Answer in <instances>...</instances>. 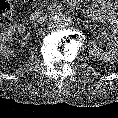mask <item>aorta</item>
<instances>
[{
    "instance_id": "aorta-1",
    "label": "aorta",
    "mask_w": 118,
    "mask_h": 118,
    "mask_svg": "<svg viewBox=\"0 0 118 118\" xmlns=\"http://www.w3.org/2000/svg\"><path fill=\"white\" fill-rule=\"evenodd\" d=\"M49 21L52 26L60 28V27L67 26L71 21V17L68 14L57 13L52 15L49 18Z\"/></svg>"
}]
</instances>
